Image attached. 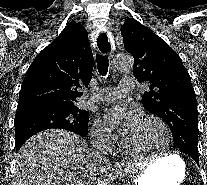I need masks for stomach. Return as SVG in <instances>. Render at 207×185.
<instances>
[{"label":"stomach","instance_id":"obj_1","mask_svg":"<svg viewBox=\"0 0 207 185\" xmlns=\"http://www.w3.org/2000/svg\"><path fill=\"white\" fill-rule=\"evenodd\" d=\"M185 163L178 155H169L151 163L137 179V185H180Z\"/></svg>","mask_w":207,"mask_h":185}]
</instances>
